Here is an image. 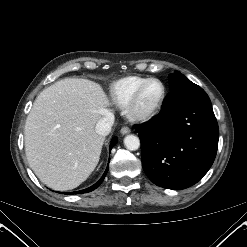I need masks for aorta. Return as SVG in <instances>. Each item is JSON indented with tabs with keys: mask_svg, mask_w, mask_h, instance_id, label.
I'll return each mask as SVG.
<instances>
[{
	"mask_svg": "<svg viewBox=\"0 0 247 247\" xmlns=\"http://www.w3.org/2000/svg\"><path fill=\"white\" fill-rule=\"evenodd\" d=\"M124 144L128 150L134 151L140 147V140L135 135H127L124 138Z\"/></svg>",
	"mask_w": 247,
	"mask_h": 247,
	"instance_id": "obj_1",
	"label": "aorta"
}]
</instances>
